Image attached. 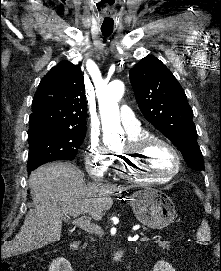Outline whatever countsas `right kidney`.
<instances>
[{
  "label": "right kidney",
  "instance_id": "1",
  "mask_svg": "<svg viewBox=\"0 0 221 271\" xmlns=\"http://www.w3.org/2000/svg\"><path fill=\"white\" fill-rule=\"evenodd\" d=\"M49 271H73L72 265L65 257H56L51 261Z\"/></svg>",
  "mask_w": 221,
  "mask_h": 271
}]
</instances>
